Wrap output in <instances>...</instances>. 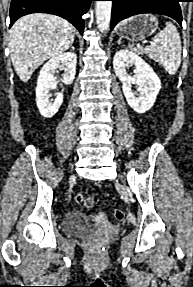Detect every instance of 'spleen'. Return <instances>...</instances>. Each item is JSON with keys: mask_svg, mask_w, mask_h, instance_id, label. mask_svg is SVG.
<instances>
[{"mask_svg": "<svg viewBox=\"0 0 193 287\" xmlns=\"http://www.w3.org/2000/svg\"><path fill=\"white\" fill-rule=\"evenodd\" d=\"M152 39L153 42L144 51L149 58L161 64L165 70L174 75L181 63V39L177 28L170 22Z\"/></svg>", "mask_w": 193, "mask_h": 287, "instance_id": "obj_1", "label": "spleen"}]
</instances>
